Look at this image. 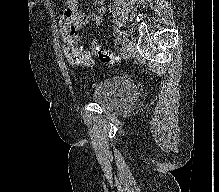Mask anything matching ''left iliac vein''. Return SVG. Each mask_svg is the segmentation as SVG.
<instances>
[{"mask_svg": "<svg viewBox=\"0 0 219 192\" xmlns=\"http://www.w3.org/2000/svg\"><path fill=\"white\" fill-rule=\"evenodd\" d=\"M121 37H122L121 52L123 55H125L130 51L132 44L129 38L124 33H121Z\"/></svg>", "mask_w": 219, "mask_h": 192, "instance_id": "obj_1", "label": "left iliac vein"}]
</instances>
